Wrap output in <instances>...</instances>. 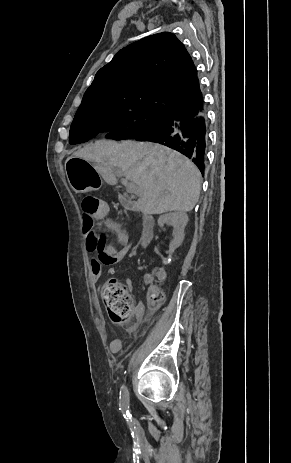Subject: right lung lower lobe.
Masks as SVG:
<instances>
[{
    "mask_svg": "<svg viewBox=\"0 0 291 463\" xmlns=\"http://www.w3.org/2000/svg\"><path fill=\"white\" fill-rule=\"evenodd\" d=\"M135 139L157 142L182 153L190 158L204 174L208 139L203 100L202 107L197 114H167L160 126Z\"/></svg>",
    "mask_w": 291,
    "mask_h": 463,
    "instance_id": "1",
    "label": "right lung lower lobe"
}]
</instances>
